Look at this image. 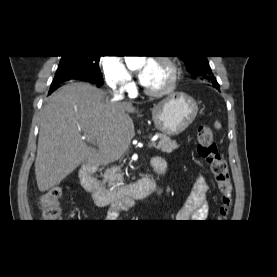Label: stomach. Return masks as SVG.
<instances>
[{
	"label": "stomach",
	"instance_id": "1",
	"mask_svg": "<svg viewBox=\"0 0 277 277\" xmlns=\"http://www.w3.org/2000/svg\"><path fill=\"white\" fill-rule=\"evenodd\" d=\"M197 113L196 101L185 93L176 92L153 107L152 118L162 135L175 136L194 121Z\"/></svg>",
	"mask_w": 277,
	"mask_h": 277
}]
</instances>
